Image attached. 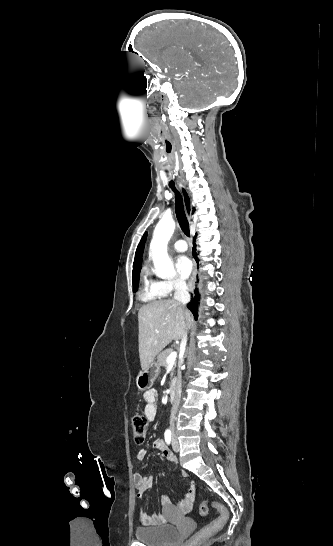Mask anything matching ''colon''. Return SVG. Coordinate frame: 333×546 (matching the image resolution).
<instances>
[{"label":"colon","mask_w":333,"mask_h":546,"mask_svg":"<svg viewBox=\"0 0 333 546\" xmlns=\"http://www.w3.org/2000/svg\"><path fill=\"white\" fill-rule=\"evenodd\" d=\"M147 428H148V422L145 416L143 415L134 416L132 420V434H133L134 441L136 443L141 444L144 442L146 433H147ZM209 508H214L219 514L218 517L214 521H212L210 524L202 528L191 540H189L187 543L183 544L182 546H192V543L196 539L206 538L214 534L227 523L229 519V512L224 505L217 502L203 501L201 502L199 506L200 514L202 516H206L208 514Z\"/></svg>","instance_id":"5ec220e1"}]
</instances>
